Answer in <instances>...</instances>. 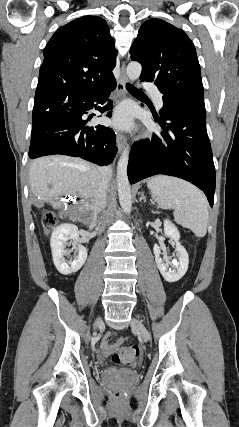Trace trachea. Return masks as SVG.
Here are the masks:
<instances>
[{
  "label": "trachea",
  "instance_id": "1",
  "mask_svg": "<svg viewBox=\"0 0 239 427\" xmlns=\"http://www.w3.org/2000/svg\"><path fill=\"white\" fill-rule=\"evenodd\" d=\"M127 89L130 91V92H132V93H135V94H137V95H140V96H145L141 91H139L137 88H135L133 85H131V84H127Z\"/></svg>",
  "mask_w": 239,
  "mask_h": 427
}]
</instances>
